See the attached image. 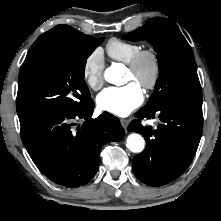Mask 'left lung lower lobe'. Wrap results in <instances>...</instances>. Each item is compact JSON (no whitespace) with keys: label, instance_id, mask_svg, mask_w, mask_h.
Listing matches in <instances>:
<instances>
[{"label":"left lung lower lobe","instance_id":"obj_1","mask_svg":"<svg viewBox=\"0 0 221 221\" xmlns=\"http://www.w3.org/2000/svg\"><path fill=\"white\" fill-rule=\"evenodd\" d=\"M128 131L144 136L146 147L133 158L136 177L150 186L165 185L182 175L192 162L203 130L202 105L159 100L135 113ZM158 118L157 129L144 118Z\"/></svg>","mask_w":221,"mask_h":221}]
</instances>
